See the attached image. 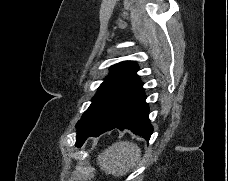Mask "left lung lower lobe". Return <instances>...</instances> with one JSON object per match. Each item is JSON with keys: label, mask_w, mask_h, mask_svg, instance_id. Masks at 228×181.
<instances>
[{"label": "left lung lower lobe", "mask_w": 228, "mask_h": 181, "mask_svg": "<svg viewBox=\"0 0 228 181\" xmlns=\"http://www.w3.org/2000/svg\"><path fill=\"white\" fill-rule=\"evenodd\" d=\"M142 86L143 83L138 86L132 95L127 109L119 123L110 127H102L97 129L95 128L78 132L76 137V146L81 147L88 137H98L102 133L114 128L129 129L136 135L143 136L144 139L149 141L150 136L153 132V127L149 121V107L145 102L146 96L144 94V89Z\"/></svg>", "instance_id": "0a47b994"}]
</instances>
